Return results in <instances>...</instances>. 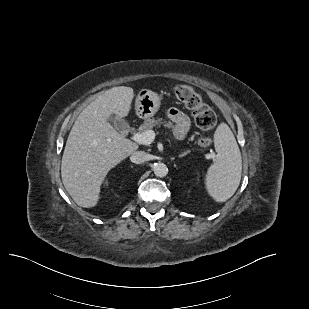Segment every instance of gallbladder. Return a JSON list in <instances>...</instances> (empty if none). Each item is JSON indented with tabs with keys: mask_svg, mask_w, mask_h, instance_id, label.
Masks as SVG:
<instances>
[{
	"mask_svg": "<svg viewBox=\"0 0 309 309\" xmlns=\"http://www.w3.org/2000/svg\"><path fill=\"white\" fill-rule=\"evenodd\" d=\"M108 121L112 123L119 132H126L129 129L128 123L117 116H111Z\"/></svg>",
	"mask_w": 309,
	"mask_h": 309,
	"instance_id": "gallbladder-1",
	"label": "gallbladder"
}]
</instances>
